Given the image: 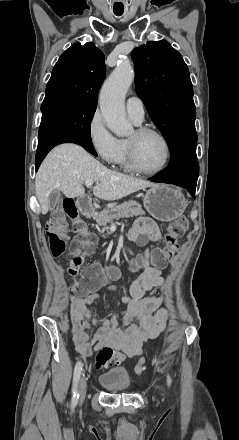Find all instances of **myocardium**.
Returning <instances> with one entry per match:
<instances>
[{"instance_id": "myocardium-1", "label": "myocardium", "mask_w": 239, "mask_h": 440, "mask_svg": "<svg viewBox=\"0 0 239 440\" xmlns=\"http://www.w3.org/2000/svg\"><path fill=\"white\" fill-rule=\"evenodd\" d=\"M136 133L139 136L155 135V136L159 137L165 145L166 159H165L164 164L159 169L154 170V171L146 170L139 163L135 146L129 140H127L126 143H127L128 157H129V162H130L132 169L138 173H141V174L147 175V176H155V175H159V174L163 173L168 168V166L171 162V158H172V146H171V143H170L169 139L167 138V136L163 132H161L160 130L153 128V127H148V126L138 127L136 129Z\"/></svg>"}]
</instances>
